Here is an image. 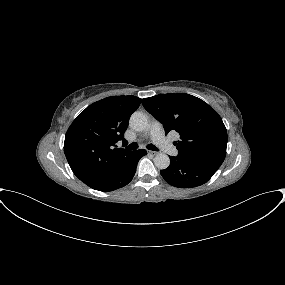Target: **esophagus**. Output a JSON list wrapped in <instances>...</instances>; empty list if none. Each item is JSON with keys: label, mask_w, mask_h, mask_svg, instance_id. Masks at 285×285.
Segmentation results:
<instances>
[{"label": "esophagus", "mask_w": 285, "mask_h": 285, "mask_svg": "<svg viewBox=\"0 0 285 285\" xmlns=\"http://www.w3.org/2000/svg\"><path fill=\"white\" fill-rule=\"evenodd\" d=\"M148 154L151 155V156H155V155H157L158 153L155 152V151H148Z\"/></svg>", "instance_id": "esophagus-1"}]
</instances>
